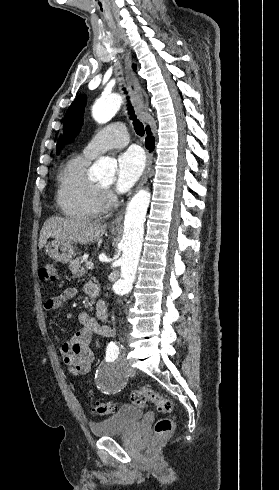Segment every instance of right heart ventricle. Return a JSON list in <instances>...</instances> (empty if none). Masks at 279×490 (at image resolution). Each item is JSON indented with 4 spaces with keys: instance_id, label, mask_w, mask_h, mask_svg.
<instances>
[{
    "instance_id": "e07e8e85",
    "label": "right heart ventricle",
    "mask_w": 279,
    "mask_h": 490,
    "mask_svg": "<svg viewBox=\"0 0 279 490\" xmlns=\"http://www.w3.org/2000/svg\"><path fill=\"white\" fill-rule=\"evenodd\" d=\"M90 160L83 154L74 156L60 172L58 204L63 215L74 221H90L101 212L102 191L86 175Z\"/></svg>"
}]
</instances>
